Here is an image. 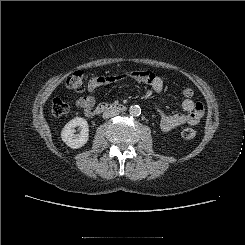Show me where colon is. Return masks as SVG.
Masks as SVG:
<instances>
[{
    "instance_id": "colon-1",
    "label": "colon",
    "mask_w": 245,
    "mask_h": 245,
    "mask_svg": "<svg viewBox=\"0 0 245 245\" xmlns=\"http://www.w3.org/2000/svg\"><path fill=\"white\" fill-rule=\"evenodd\" d=\"M66 85L74 91H82L85 87L83 74L81 72L73 73L68 77ZM182 94L184 97H192L193 90L191 88H184ZM51 111L54 116L60 117L68 113L69 106L62 99L56 98L52 102ZM195 135L196 130L191 127H187L182 131V136L186 139H192Z\"/></svg>"
}]
</instances>
